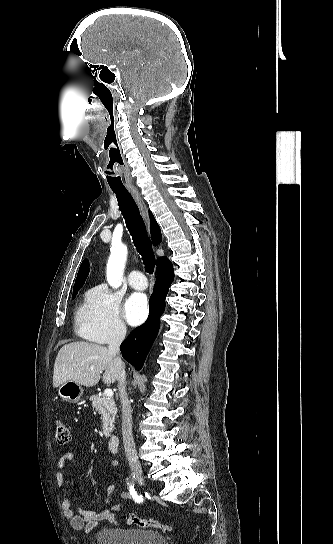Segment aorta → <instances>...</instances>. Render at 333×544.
<instances>
[{
    "label": "aorta",
    "instance_id": "obj_1",
    "mask_svg": "<svg viewBox=\"0 0 333 544\" xmlns=\"http://www.w3.org/2000/svg\"><path fill=\"white\" fill-rule=\"evenodd\" d=\"M127 259V247L120 245L111 249V254L107 264V281L109 285L117 288L123 274L125 262Z\"/></svg>",
    "mask_w": 333,
    "mask_h": 544
}]
</instances>
